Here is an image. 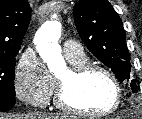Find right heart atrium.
<instances>
[{"label": "right heart atrium", "instance_id": "right-heart-atrium-1", "mask_svg": "<svg viewBox=\"0 0 142 119\" xmlns=\"http://www.w3.org/2000/svg\"><path fill=\"white\" fill-rule=\"evenodd\" d=\"M16 95L34 106H46L54 90V80L34 53L21 56L15 72Z\"/></svg>", "mask_w": 142, "mask_h": 119}]
</instances>
